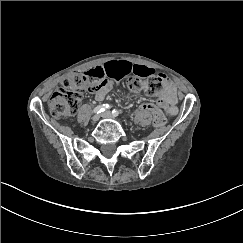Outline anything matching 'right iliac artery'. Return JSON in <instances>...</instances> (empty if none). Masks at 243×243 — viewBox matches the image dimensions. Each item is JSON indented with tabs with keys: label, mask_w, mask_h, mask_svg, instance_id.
Wrapping results in <instances>:
<instances>
[{
	"label": "right iliac artery",
	"mask_w": 243,
	"mask_h": 243,
	"mask_svg": "<svg viewBox=\"0 0 243 243\" xmlns=\"http://www.w3.org/2000/svg\"><path fill=\"white\" fill-rule=\"evenodd\" d=\"M107 109H110V105L109 104H102V105H99L97 106L93 112L96 113V114H99L101 112H104L105 110Z\"/></svg>",
	"instance_id": "right-iliac-artery-1"
}]
</instances>
